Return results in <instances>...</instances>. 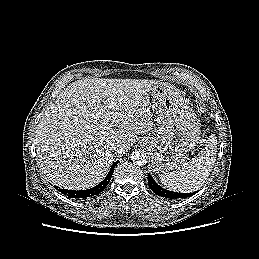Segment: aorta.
<instances>
[{"label": "aorta", "mask_w": 259, "mask_h": 259, "mask_svg": "<svg viewBox=\"0 0 259 259\" xmlns=\"http://www.w3.org/2000/svg\"><path fill=\"white\" fill-rule=\"evenodd\" d=\"M130 158L133 161V163L139 166H143L147 163V155L141 150L133 151L132 154L130 155Z\"/></svg>", "instance_id": "1"}]
</instances>
